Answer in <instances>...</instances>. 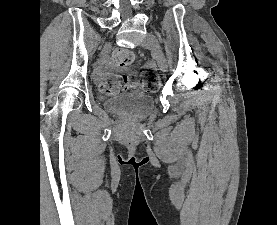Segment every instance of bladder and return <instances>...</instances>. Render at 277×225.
Returning <instances> with one entry per match:
<instances>
[{"label": "bladder", "mask_w": 277, "mask_h": 225, "mask_svg": "<svg viewBox=\"0 0 277 225\" xmlns=\"http://www.w3.org/2000/svg\"><path fill=\"white\" fill-rule=\"evenodd\" d=\"M154 107L152 95L143 91H130L111 96L106 102L109 112L132 118L147 116Z\"/></svg>", "instance_id": "obj_1"}]
</instances>
